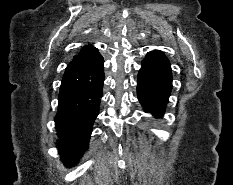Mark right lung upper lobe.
Here are the masks:
<instances>
[{
	"mask_svg": "<svg viewBox=\"0 0 233 185\" xmlns=\"http://www.w3.org/2000/svg\"><path fill=\"white\" fill-rule=\"evenodd\" d=\"M99 58H102V56L99 54L98 50L90 45L84 47L78 55L74 56V60H97Z\"/></svg>",
	"mask_w": 233,
	"mask_h": 185,
	"instance_id": "1",
	"label": "right lung upper lobe"
}]
</instances>
